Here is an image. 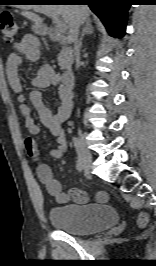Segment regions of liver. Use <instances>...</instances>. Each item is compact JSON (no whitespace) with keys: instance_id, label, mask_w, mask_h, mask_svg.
I'll list each match as a JSON object with an SVG mask.
<instances>
[{"instance_id":"obj_1","label":"liver","mask_w":156,"mask_h":266,"mask_svg":"<svg viewBox=\"0 0 156 266\" xmlns=\"http://www.w3.org/2000/svg\"><path fill=\"white\" fill-rule=\"evenodd\" d=\"M21 9L23 10L22 15L34 22L33 29L36 31L43 27V19L34 12L47 11L61 15L69 29V41H72V31L75 24L78 22L81 25L90 20V9L85 5H21Z\"/></svg>"}]
</instances>
